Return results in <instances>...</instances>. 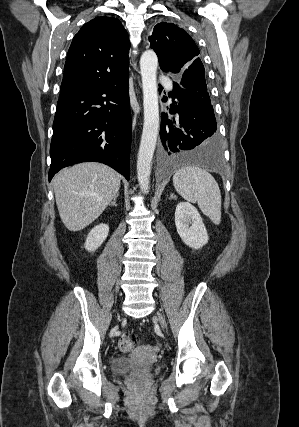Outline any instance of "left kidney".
<instances>
[{
    "instance_id": "1",
    "label": "left kidney",
    "mask_w": 299,
    "mask_h": 427,
    "mask_svg": "<svg viewBox=\"0 0 299 427\" xmlns=\"http://www.w3.org/2000/svg\"><path fill=\"white\" fill-rule=\"evenodd\" d=\"M175 225L182 241L193 249L208 243V234L198 210L188 202H180L175 211Z\"/></svg>"
}]
</instances>
